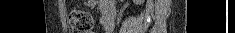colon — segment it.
<instances>
[{"label": "colon", "instance_id": "1", "mask_svg": "<svg viewBox=\"0 0 235 33\" xmlns=\"http://www.w3.org/2000/svg\"><path fill=\"white\" fill-rule=\"evenodd\" d=\"M69 23L73 33H91L93 19L82 10H74L69 15Z\"/></svg>", "mask_w": 235, "mask_h": 33}]
</instances>
